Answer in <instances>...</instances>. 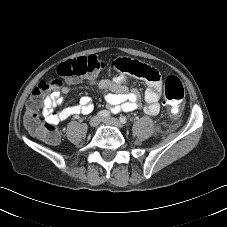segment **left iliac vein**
<instances>
[{
	"mask_svg": "<svg viewBox=\"0 0 227 227\" xmlns=\"http://www.w3.org/2000/svg\"><path fill=\"white\" fill-rule=\"evenodd\" d=\"M101 121L107 125H110V126H114V127H117V128H121L122 127V124L121 122L116 119V118H112V117H109V118H102Z\"/></svg>",
	"mask_w": 227,
	"mask_h": 227,
	"instance_id": "4c4485c4",
	"label": "left iliac vein"
}]
</instances>
